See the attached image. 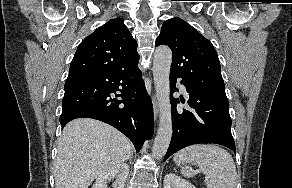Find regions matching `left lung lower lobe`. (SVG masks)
<instances>
[{
    "label": "left lung lower lobe",
    "mask_w": 292,
    "mask_h": 188,
    "mask_svg": "<svg viewBox=\"0 0 292 188\" xmlns=\"http://www.w3.org/2000/svg\"><path fill=\"white\" fill-rule=\"evenodd\" d=\"M177 78L170 74L171 93L177 91ZM181 83L189 94L188 104L191 109L177 110L179 99L171 98L173 136L164 161L175 152L193 144H221L235 152L227 96L199 89L184 81Z\"/></svg>",
    "instance_id": "left-lung-lower-lobe-1"
}]
</instances>
